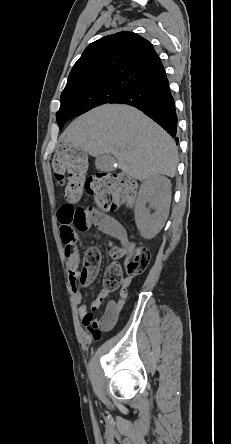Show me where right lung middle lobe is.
<instances>
[{"instance_id": "right-lung-middle-lobe-1", "label": "right lung middle lobe", "mask_w": 231, "mask_h": 444, "mask_svg": "<svg viewBox=\"0 0 231 444\" xmlns=\"http://www.w3.org/2000/svg\"><path fill=\"white\" fill-rule=\"evenodd\" d=\"M133 86L122 83H105L82 89L65 90L61 94V106L56 114L59 128L65 122L88 110L105 104L115 103Z\"/></svg>"}]
</instances>
